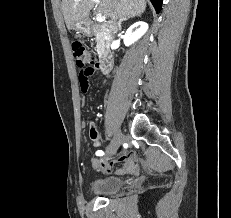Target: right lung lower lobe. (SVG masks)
<instances>
[{"label": "right lung lower lobe", "instance_id": "1", "mask_svg": "<svg viewBox=\"0 0 231 218\" xmlns=\"http://www.w3.org/2000/svg\"><path fill=\"white\" fill-rule=\"evenodd\" d=\"M150 1L152 2L156 12L159 13L163 0H150Z\"/></svg>", "mask_w": 231, "mask_h": 218}]
</instances>
